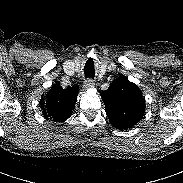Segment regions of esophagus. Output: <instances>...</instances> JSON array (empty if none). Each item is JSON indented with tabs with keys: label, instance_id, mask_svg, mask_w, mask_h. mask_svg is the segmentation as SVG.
I'll return each mask as SVG.
<instances>
[{
	"label": "esophagus",
	"instance_id": "obj_1",
	"mask_svg": "<svg viewBox=\"0 0 183 183\" xmlns=\"http://www.w3.org/2000/svg\"><path fill=\"white\" fill-rule=\"evenodd\" d=\"M95 83L91 78H88L85 82H84V87L86 89L92 88L94 87Z\"/></svg>",
	"mask_w": 183,
	"mask_h": 183
}]
</instances>
